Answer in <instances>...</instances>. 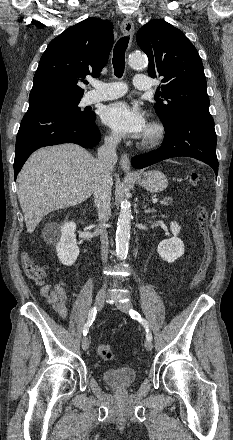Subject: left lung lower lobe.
Returning a JSON list of instances; mask_svg holds the SVG:
<instances>
[{
  "instance_id": "left-lung-lower-lobe-1",
  "label": "left lung lower lobe",
  "mask_w": 233,
  "mask_h": 440,
  "mask_svg": "<svg viewBox=\"0 0 233 440\" xmlns=\"http://www.w3.org/2000/svg\"><path fill=\"white\" fill-rule=\"evenodd\" d=\"M186 156L210 165L218 172L216 156V133L214 121L209 112L187 111L182 113L175 124L165 129V140L160 148L147 154L135 156L133 167L137 169L161 160Z\"/></svg>"
}]
</instances>
